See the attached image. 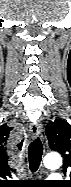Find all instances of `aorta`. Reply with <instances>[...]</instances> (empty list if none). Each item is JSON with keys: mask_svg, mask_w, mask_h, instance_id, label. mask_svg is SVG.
Returning <instances> with one entry per match:
<instances>
[{"mask_svg": "<svg viewBox=\"0 0 71 187\" xmlns=\"http://www.w3.org/2000/svg\"><path fill=\"white\" fill-rule=\"evenodd\" d=\"M43 163L48 169H56L61 166L62 158L58 153H49L45 156Z\"/></svg>", "mask_w": 71, "mask_h": 187, "instance_id": "762f6f07", "label": "aorta"}]
</instances>
